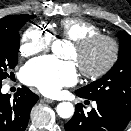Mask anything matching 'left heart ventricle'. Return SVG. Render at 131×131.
<instances>
[{
  "label": "left heart ventricle",
  "instance_id": "obj_1",
  "mask_svg": "<svg viewBox=\"0 0 131 131\" xmlns=\"http://www.w3.org/2000/svg\"><path fill=\"white\" fill-rule=\"evenodd\" d=\"M110 56V47L103 41L96 42L83 52L72 49L70 58L74 59L82 68L95 71L101 68Z\"/></svg>",
  "mask_w": 131,
  "mask_h": 131
}]
</instances>
